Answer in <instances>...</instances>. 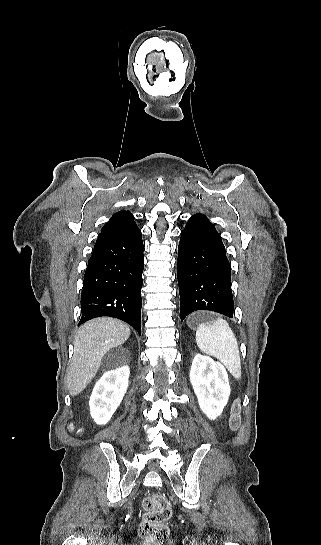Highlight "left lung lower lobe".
<instances>
[{"mask_svg": "<svg viewBox=\"0 0 321 545\" xmlns=\"http://www.w3.org/2000/svg\"><path fill=\"white\" fill-rule=\"evenodd\" d=\"M181 321L197 310L233 317L231 267L214 225L201 213L190 217L178 246Z\"/></svg>", "mask_w": 321, "mask_h": 545, "instance_id": "left-lung-lower-lobe-1", "label": "left lung lower lobe"}]
</instances>
